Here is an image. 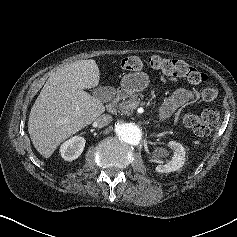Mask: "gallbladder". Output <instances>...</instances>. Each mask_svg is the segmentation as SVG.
<instances>
[{
  "label": "gallbladder",
  "mask_w": 237,
  "mask_h": 237,
  "mask_svg": "<svg viewBox=\"0 0 237 237\" xmlns=\"http://www.w3.org/2000/svg\"><path fill=\"white\" fill-rule=\"evenodd\" d=\"M110 89L108 87H99L95 91V95L102 101H108L113 97V93H109Z\"/></svg>",
  "instance_id": "obj_1"
}]
</instances>
